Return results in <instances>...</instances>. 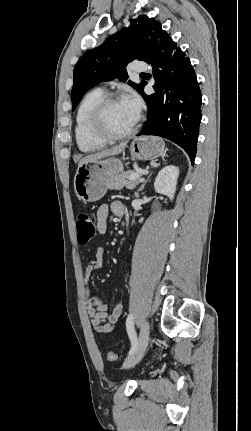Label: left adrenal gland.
<instances>
[{
    "label": "left adrenal gland",
    "instance_id": "obj_1",
    "mask_svg": "<svg viewBox=\"0 0 251 431\" xmlns=\"http://www.w3.org/2000/svg\"><path fill=\"white\" fill-rule=\"evenodd\" d=\"M151 175H152V173H150L148 175L147 179L143 182V184L141 185V187L138 189V191L136 192L137 195H138L139 192H141L144 189V187H145L146 183L149 181Z\"/></svg>",
    "mask_w": 251,
    "mask_h": 431
}]
</instances>
